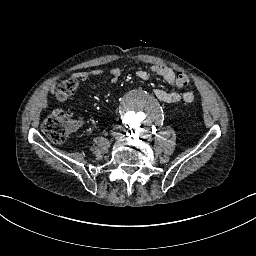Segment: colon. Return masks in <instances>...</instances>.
I'll return each mask as SVG.
<instances>
[{
	"label": "colon",
	"mask_w": 256,
	"mask_h": 256,
	"mask_svg": "<svg viewBox=\"0 0 256 256\" xmlns=\"http://www.w3.org/2000/svg\"><path fill=\"white\" fill-rule=\"evenodd\" d=\"M176 84L180 88H185L190 84L187 74L179 72L176 75ZM79 79L71 77L61 82L56 90V103H64L70 95L78 88ZM74 128V123L65 117V113L61 110L55 111L42 124L43 132L53 142H63L66 140L69 132Z\"/></svg>",
	"instance_id": "5ec220e1"
}]
</instances>
